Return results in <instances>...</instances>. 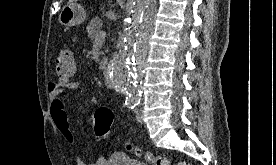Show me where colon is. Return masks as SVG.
Listing matches in <instances>:
<instances>
[{"mask_svg":"<svg viewBox=\"0 0 276 165\" xmlns=\"http://www.w3.org/2000/svg\"><path fill=\"white\" fill-rule=\"evenodd\" d=\"M56 75L60 79H70L76 73V63L72 52L69 50H62L56 57L55 65ZM113 112L106 107L99 108L93 115L91 126L94 134L99 138H105L109 135L111 125L113 122ZM127 149L134 152L137 156L142 157L150 165H169V161L164 156L153 155L151 153L142 152L140 149L134 148L128 144ZM175 165H190L186 162H179Z\"/></svg>","mask_w":276,"mask_h":165,"instance_id":"5ec220e1","label":"colon"}]
</instances>
